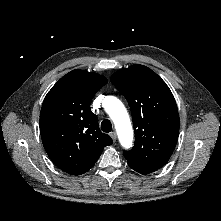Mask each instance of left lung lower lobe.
I'll return each instance as SVG.
<instances>
[{
    "label": "left lung lower lobe",
    "mask_w": 221,
    "mask_h": 221,
    "mask_svg": "<svg viewBox=\"0 0 221 221\" xmlns=\"http://www.w3.org/2000/svg\"><path fill=\"white\" fill-rule=\"evenodd\" d=\"M127 163H128V165H129L133 170L137 171L138 173H141V174L151 173V172H149V171H147V170H144V169H142V168H140V167H137L136 165H134V164H132V163H130V162H127Z\"/></svg>",
    "instance_id": "0a47b994"
}]
</instances>
